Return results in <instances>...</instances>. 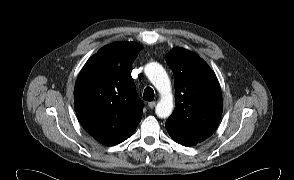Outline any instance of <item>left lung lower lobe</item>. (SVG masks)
Returning <instances> with one entry per match:
<instances>
[{
  "label": "left lung lower lobe",
  "mask_w": 294,
  "mask_h": 180,
  "mask_svg": "<svg viewBox=\"0 0 294 180\" xmlns=\"http://www.w3.org/2000/svg\"><path fill=\"white\" fill-rule=\"evenodd\" d=\"M166 126V129L170 135V137L177 143L183 145V146H194L197 143H200L204 141L206 138H208L211 135H205V134H191V133H185L181 132L179 130H176L170 126Z\"/></svg>",
  "instance_id": "obj_1"
}]
</instances>
